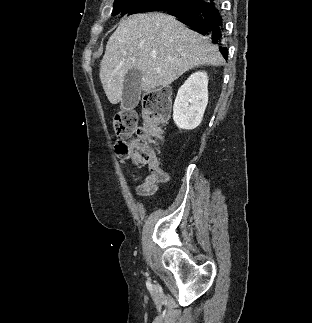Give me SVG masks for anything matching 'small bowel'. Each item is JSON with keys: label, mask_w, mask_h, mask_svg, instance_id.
<instances>
[{"label": "small bowel", "mask_w": 312, "mask_h": 323, "mask_svg": "<svg viewBox=\"0 0 312 323\" xmlns=\"http://www.w3.org/2000/svg\"><path fill=\"white\" fill-rule=\"evenodd\" d=\"M122 165L126 161H121ZM148 175L138 184L136 192L140 196H152L158 189L160 184L168 183L171 179L170 175L162 170L159 160L154 157L148 164Z\"/></svg>", "instance_id": "1"}]
</instances>
